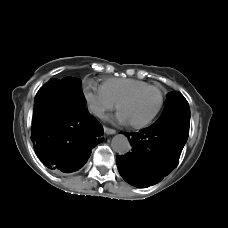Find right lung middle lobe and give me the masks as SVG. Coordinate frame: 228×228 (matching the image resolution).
<instances>
[{
    "label": "right lung middle lobe",
    "mask_w": 228,
    "mask_h": 228,
    "mask_svg": "<svg viewBox=\"0 0 228 228\" xmlns=\"http://www.w3.org/2000/svg\"><path fill=\"white\" fill-rule=\"evenodd\" d=\"M48 82L58 86L61 90V93L68 99V101H75L82 97V83L79 79L66 77L61 80L50 79Z\"/></svg>",
    "instance_id": "1"
}]
</instances>
